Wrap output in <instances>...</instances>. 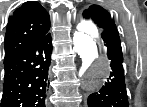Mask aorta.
Returning a JSON list of instances; mask_svg holds the SVG:
<instances>
[{
    "label": "aorta",
    "mask_w": 147,
    "mask_h": 107,
    "mask_svg": "<svg viewBox=\"0 0 147 107\" xmlns=\"http://www.w3.org/2000/svg\"><path fill=\"white\" fill-rule=\"evenodd\" d=\"M74 48L82 59L80 75L83 87L88 91L99 89L110 75V66L106 54L99 48L101 43L96 27L82 23L73 35Z\"/></svg>",
    "instance_id": "obj_1"
}]
</instances>
